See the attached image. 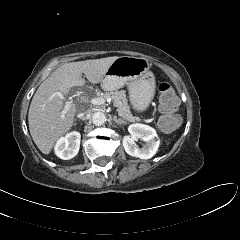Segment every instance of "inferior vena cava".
I'll return each instance as SVG.
<instances>
[{
    "label": "inferior vena cava",
    "instance_id": "obj_1",
    "mask_svg": "<svg viewBox=\"0 0 240 240\" xmlns=\"http://www.w3.org/2000/svg\"><path fill=\"white\" fill-rule=\"evenodd\" d=\"M90 111L89 110H86V111H84V112H80L79 114H78V117H80V118H82V119H86L89 115H90Z\"/></svg>",
    "mask_w": 240,
    "mask_h": 240
}]
</instances>
